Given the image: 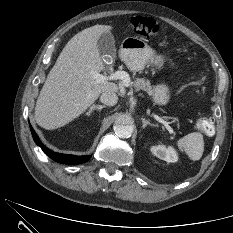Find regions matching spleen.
I'll return each instance as SVG.
<instances>
[{
	"label": "spleen",
	"mask_w": 233,
	"mask_h": 233,
	"mask_svg": "<svg viewBox=\"0 0 233 233\" xmlns=\"http://www.w3.org/2000/svg\"><path fill=\"white\" fill-rule=\"evenodd\" d=\"M177 146L184 149L191 160L197 161L204 152L203 135L200 132L189 133L177 141Z\"/></svg>",
	"instance_id": "obj_1"
}]
</instances>
